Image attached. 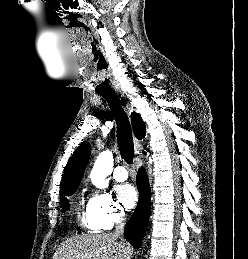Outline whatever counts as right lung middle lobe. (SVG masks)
I'll return each mask as SVG.
<instances>
[{"label":"right lung middle lobe","instance_id":"right-lung-middle-lobe-1","mask_svg":"<svg viewBox=\"0 0 248 259\" xmlns=\"http://www.w3.org/2000/svg\"><path fill=\"white\" fill-rule=\"evenodd\" d=\"M76 189H71L68 191H64L63 193H61L60 195V204L61 207L63 209V211L65 212L66 210L69 209V202L66 196H70L75 192ZM64 195V196H63Z\"/></svg>","mask_w":248,"mask_h":259}]
</instances>
